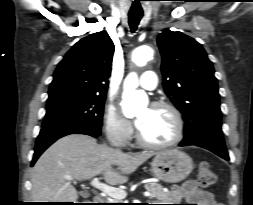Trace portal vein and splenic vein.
<instances>
[{"instance_id": "1", "label": "portal vein and splenic vein", "mask_w": 253, "mask_h": 205, "mask_svg": "<svg viewBox=\"0 0 253 205\" xmlns=\"http://www.w3.org/2000/svg\"><path fill=\"white\" fill-rule=\"evenodd\" d=\"M71 181V179H68ZM90 185L93 186L94 188L100 190L104 194L108 195L109 197L113 199H118L122 200L127 196V193L124 190H121L119 188H115L109 185H106L102 182L99 181L98 178H94L91 182ZM145 197L151 196V193L149 191H146L143 193Z\"/></svg>"}]
</instances>
